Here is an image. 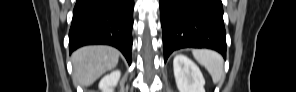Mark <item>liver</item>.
<instances>
[{"label":"liver","mask_w":296,"mask_h":92,"mask_svg":"<svg viewBox=\"0 0 296 92\" xmlns=\"http://www.w3.org/2000/svg\"><path fill=\"white\" fill-rule=\"evenodd\" d=\"M119 55L117 49L105 45L79 48L71 57L73 81L83 87L92 85L104 73L116 67Z\"/></svg>","instance_id":"1"}]
</instances>
